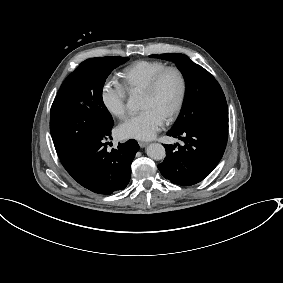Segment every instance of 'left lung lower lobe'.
Wrapping results in <instances>:
<instances>
[{
  "label": "left lung lower lobe",
  "instance_id": "obj_1",
  "mask_svg": "<svg viewBox=\"0 0 283 283\" xmlns=\"http://www.w3.org/2000/svg\"><path fill=\"white\" fill-rule=\"evenodd\" d=\"M184 145H164L167 155L158 164L164 178L174 184L191 186L208 176L221 160L228 137V124L197 126L183 131H169Z\"/></svg>",
  "mask_w": 283,
  "mask_h": 283
}]
</instances>
